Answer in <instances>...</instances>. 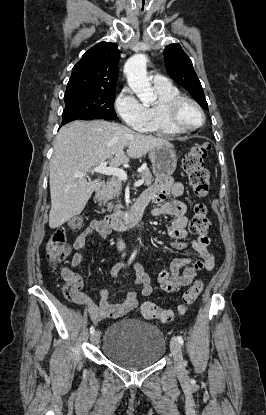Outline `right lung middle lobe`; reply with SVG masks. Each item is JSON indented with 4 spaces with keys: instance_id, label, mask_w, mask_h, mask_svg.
<instances>
[{
    "instance_id": "right-lung-middle-lobe-1",
    "label": "right lung middle lobe",
    "mask_w": 266,
    "mask_h": 415,
    "mask_svg": "<svg viewBox=\"0 0 266 415\" xmlns=\"http://www.w3.org/2000/svg\"><path fill=\"white\" fill-rule=\"evenodd\" d=\"M115 90H76L66 92L63 120L117 118L114 110ZM62 120V121H63Z\"/></svg>"
}]
</instances>
